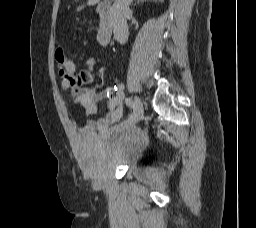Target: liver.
<instances>
[{"instance_id": "obj_1", "label": "liver", "mask_w": 256, "mask_h": 228, "mask_svg": "<svg viewBox=\"0 0 256 228\" xmlns=\"http://www.w3.org/2000/svg\"><path fill=\"white\" fill-rule=\"evenodd\" d=\"M99 1H100V0H88L87 5H95V4H97ZM160 1H163V0H160ZM82 8H84V5L79 6V7L77 8V11L81 10Z\"/></svg>"}]
</instances>
